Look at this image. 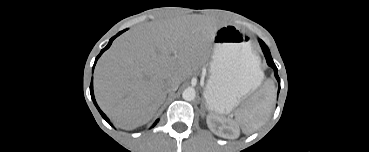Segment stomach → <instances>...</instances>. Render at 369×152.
Listing matches in <instances>:
<instances>
[{"instance_id":"stomach-1","label":"stomach","mask_w":369,"mask_h":152,"mask_svg":"<svg viewBox=\"0 0 369 152\" xmlns=\"http://www.w3.org/2000/svg\"><path fill=\"white\" fill-rule=\"evenodd\" d=\"M210 64V78L204 90L206 106L218 114L230 113L250 95L263 79L248 35L228 24L217 29Z\"/></svg>"}]
</instances>
